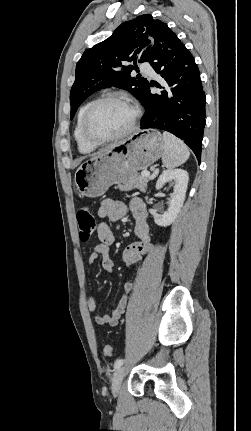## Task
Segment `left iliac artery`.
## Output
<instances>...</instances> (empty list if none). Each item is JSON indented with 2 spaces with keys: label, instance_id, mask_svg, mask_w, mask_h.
I'll list each match as a JSON object with an SVG mask.
<instances>
[{
  "label": "left iliac artery",
  "instance_id": "left-iliac-artery-1",
  "mask_svg": "<svg viewBox=\"0 0 251 431\" xmlns=\"http://www.w3.org/2000/svg\"><path fill=\"white\" fill-rule=\"evenodd\" d=\"M124 360L123 359H117L114 363V368H118L123 364Z\"/></svg>",
  "mask_w": 251,
  "mask_h": 431
}]
</instances>
